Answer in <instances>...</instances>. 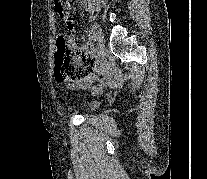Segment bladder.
I'll list each match as a JSON object with an SVG mask.
<instances>
[{
	"instance_id": "bladder-1",
	"label": "bladder",
	"mask_w": 207,
	"mask_h": 179,
	"mask_svg": "<svg viewBox=\"0 0 207 179\" xmlns=\"http://www.w3.org/2000/svg\"><path fill=\"white\" fill-rule=\"evenodd\" d=\"M96 107L97 102L93 99L82 100L76 105V109L80 111H90L94 110Z\"/></svg>"
}]
</instances>
